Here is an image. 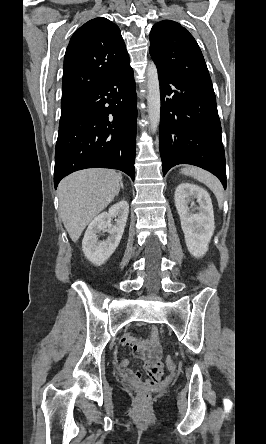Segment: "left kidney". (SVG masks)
Wrapping results in <instances>:
<instances>
[{"mask_svg":"<svg viewBox=\"0 0 266 444\" xmlns=\"http://www.w3.org/2000/svg\"><path fill=\"white\" fill-rule=\"evenodd\" d=\"M174 198L188 251L196 258L202 257L215 229L210 195L200 186L182 183L177 186ZM194 200L199 207L191 210L189 205H194ZM194 210L198 212L193 213Z\"/></svg>","mask_w":266,"mask_h":444,"instance_id":"5707ae66","label":"left kidney"}]
</instances>
